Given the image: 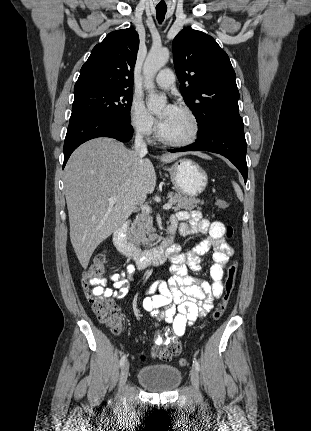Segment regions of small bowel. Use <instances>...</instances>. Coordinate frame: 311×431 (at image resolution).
<instances>
[{"label": "small bowel", "instance_id": "1", "mask_svg": "<svg viewBox=\"0 0 311 431\" xmlns=\"http://www.w3.org/2000/svg\"><path fill=\"white\" fill-rule=\"evenodd\" d=\"M169 229L179 232L183 237L203 235L191 250L183 252L174 245L170 257L173 276L168 281L152 284L142 301L143 309L150 313L156 323L165 322V338L177 340L186 327L207 315L213 301L223 292L224 269L234 250L225 240V225L220 221H210L197 211H179L170 221ZM212 252L213 265L210 268L211 282L192 277L189 272L201 270L203 256ZM135 271L128 265L127 271L109 276L113 288L99 286L98 292L106 297L122 298L128 293L127 275ZM157 292V294H154ZM162 339L160 335L155 340Z\"/></svg>", "mask_w": 311, "mask_h": 431}]
</instances>
